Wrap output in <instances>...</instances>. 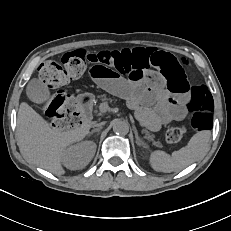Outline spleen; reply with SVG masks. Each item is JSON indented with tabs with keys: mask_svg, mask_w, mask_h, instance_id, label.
<instances>
[{
	"mask_svg": "<svg viewBox=\"0 0 231 231\" xmlns=\"http://www.w3.org/2000/svg\"><path fill=\"white\" fill-rule=\"evenodd\" d=\"M210 139V131L202 130L197 132L188 142L178 151H174L171 155L164 151H154L150 155L151 167L157 172H178L193 162H195L207 148Z\"/></svg>",
	"mask_w": 231,
	"mask_h": 231,
	"instance_id": "spleen-1",
	"label": "spleen"
}]
</instances>
